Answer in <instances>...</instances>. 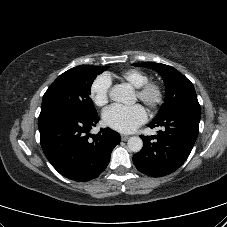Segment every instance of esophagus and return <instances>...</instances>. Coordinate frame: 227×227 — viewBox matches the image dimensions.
I'll return each mask as SVG.
<instances>
[{
    "mask_svg": "<svg viewBox=\"0 0 227 227\" xmlns=\"http://www.w3.org/2000/svg\"><path fill=\"white\" fill-rule=\"evenodd\" d=\"M129 139L128 135H121V140L122 141H127Z\"/></svg>",
    "mask_w": 227,
    "mask_h": 227,
    "instance_id": "1",
    "label": "esophagus"
}]
</instances>
